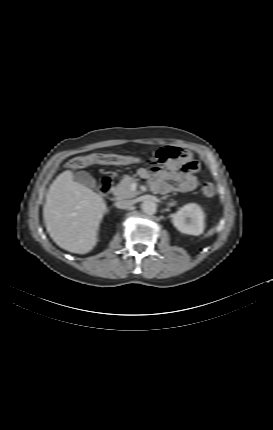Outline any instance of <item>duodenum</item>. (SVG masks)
<instances>
[{"instance_id": "duodenum-1", "label": "duodenum", "mask_w": 273, "mask_h": 430, "mask_svg": "<svg viewBox=\"0 0 273 430\" xmlns=\"http://www.w3.org/2000/svg\"><path fill=\"white\" fill-rule=\"evenodd\" d=\"M112 185L113 179L111 177H104L98 186L99 193L103 196L108 195L111 191Z\"/></svg>"}]
</instances>
